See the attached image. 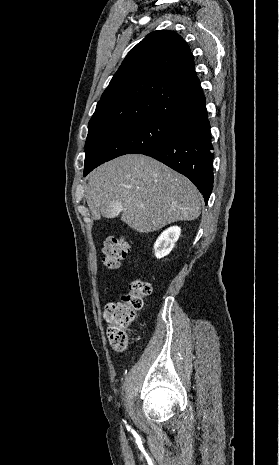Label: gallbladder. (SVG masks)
I'll return each mask as SVG.
<instances>
[{"label": "gallbladder", "instance_id": "1", "mask_svg": "<svg viewBox=\"0 0 279 465\" xmlns=\"http://www.w3.org/2000/svg\"><path fill=\"white\" fill-rule=\"evenodd\" d=\"M120 204L116 201L108 202L102 207V214L103 216L106 215L105 218H115L119 214Z\"/></svg>", "mask_w": 279, "mask_h": 465}]
</instances>
